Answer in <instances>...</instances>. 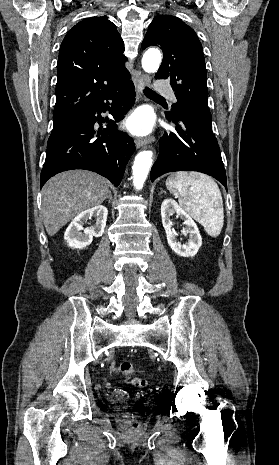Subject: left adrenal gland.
<instances>
[{
	"mask_svg": "<svg viewBox=\"0 0 279 465\" xmlns=\"http://www.w3.org/2000/svg\"><path fill=\"white\" fill-rule=\"evenodd\" d=\"M162 193H166V192L163 189H161L160 194H162Z\"/></svg>",
	"mask_w": 279,
	"mask_h": 465,
	"instance_id": "obj_1",
	"label": "left adrenal gland"
}]
</instances>
